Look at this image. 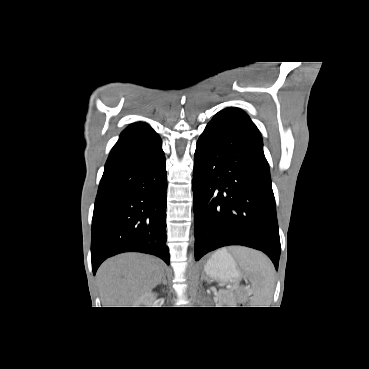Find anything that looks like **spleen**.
<instances>
[{"label": "spleen", "mask_w": 369, "mask_h": 369, "mask_svg": "<svg viewBox=\"0 0 369 369\" xmlns=\"http://www.w3.org/2000/svg\"><path fill=\"white\" fill-rule=\"evenodd\" d=\"M240 265L251 275L253 282L252 307H268L274 290V266L261 252L239 248L236 251Z\"/></svg>", "instance_id": "obj_1"}]
</instances>
